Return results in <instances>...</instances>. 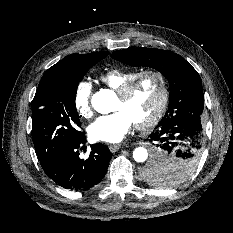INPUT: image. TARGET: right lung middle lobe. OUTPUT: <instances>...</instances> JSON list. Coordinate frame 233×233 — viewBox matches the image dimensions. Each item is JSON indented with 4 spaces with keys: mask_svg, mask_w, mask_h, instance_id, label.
Instances as JSON below:
<instances>
[{
    "mask_svg": "<svg viewBox=\"0 0 233 233\" xmlns=\"http://www.w3.org/2000/svg\"><path fill=\"white\" fill-rule=\"evenodd\" d=\"M104 56L94 58L40 86L32 102V133L41 163L54 160L71 141L83 134L75 106L78 83Z\"/></svg>",
    "mask_w": 233,
    "mask_h": 233,
    "instance_id": "1",
    "label": "right lung middle lobe"
}]
</instances>
